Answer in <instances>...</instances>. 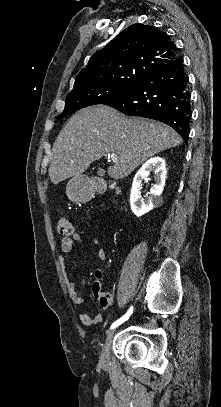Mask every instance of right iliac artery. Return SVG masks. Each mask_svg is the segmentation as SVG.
<instances>
[{"mask_svg":"<svg viewBox=\"0 0 221 407\" xmlns=\"http://www.w3.org/2000/svg\"><path fill=\"white\" fill-rule=\"evenodd\" d=\"M132 312H133V306L130 307V309L128 310V312H127L123 317H121L120 319H118L117 321H115V322L111 325V329H113V328L119 326L120 324H122L123 322H125L126 320H128L129 317H130V315L132 314Z\"/></svg>","mask_w":221,"mask_h":407,"instance_id":"obj_1","label":"right iliac artery"}]
</instances>
